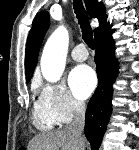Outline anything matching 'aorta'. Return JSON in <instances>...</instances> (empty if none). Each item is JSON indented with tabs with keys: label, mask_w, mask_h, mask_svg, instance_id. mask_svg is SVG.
<instances>
[{
	"label": "aorta",
	"mask_w": 139,
	"mask_h": 150,
	"mask_svg": "<svg viewBox=\"0 0 139 150\" xmlns=\"http://www.w3.org/2000/svg\"><path fill=\"white\" fill-rule=\"evenodd\" d=\"M69 44V33L64 26H59L45 44L41 57V71L49 82L58 81L65 69Z\"/></svg>",
	"instance_id": "1"
}]
</instances>
